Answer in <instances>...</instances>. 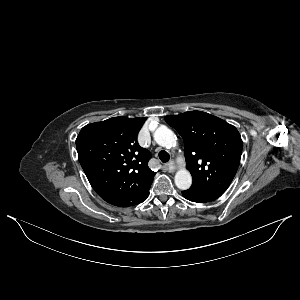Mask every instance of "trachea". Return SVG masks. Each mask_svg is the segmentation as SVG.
<instances>
[{"label": "trachea", "mask_w": 300, "mask_h": 300, "mask_svg": "<svg viewBox=\"0 0 300 300\" xmlns=\"http://www.w3.org/2000/svg\"><path fill=\"white\" fill-rule=\"evenodd\" d=\"M158 157L161 160V162H163V163L168 162L170 159V155L164 150L159 152Z\"/></svg>", "instance_id": "obj_1"}]
</instances>
